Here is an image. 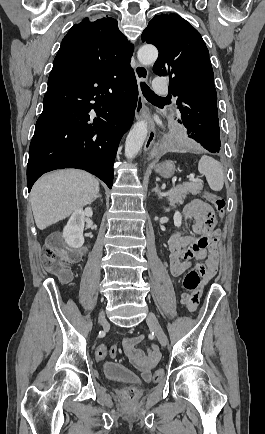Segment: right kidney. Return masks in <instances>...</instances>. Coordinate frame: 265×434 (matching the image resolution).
<instances>
[{"label": "right kidney", "instance_id": "obj_1", "mask_svg": "<svg viewBox=\"0 0 265 434\" xmlns=\"http://www.w3.org/2000/svg\"><path fill=\"white\" fill-rule=\"evenodd\" d=\"M92 208L74 210L68 224L63 230V238L70 248H82L84 244L83 230L86 218H92Z\"/></svg>", "mask_w": 265, "mask_h": 434}]
</instances>
